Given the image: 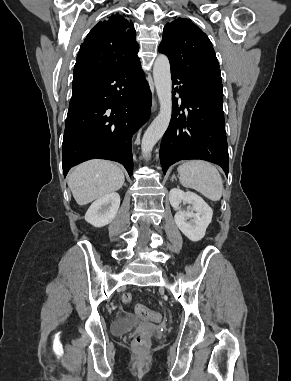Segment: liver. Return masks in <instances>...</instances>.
Returning a JSON list of instances; mask_svg holds the SVG:
<instances>
[{"label": "liver", "mask_w": 291, "mask_h": 381, "mask_svg": "<svg viewBox=\"0 0 291 381\" xmlns=\"http://www.w3.org/2000/svg\"><path fill=\"white\" fill-rule=\"evenodd\" d=\"M122 169L106 160H90L68 175V186L80 206L119 190L124 184Z\"/></svg>", "instance_id": "obj_1"}]
</instances>
